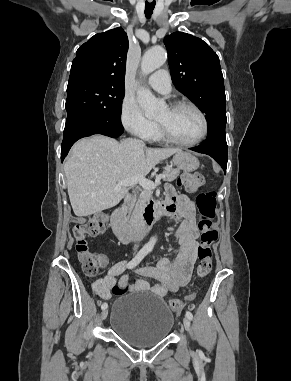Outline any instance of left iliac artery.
<instances>
[{
    "label": "left iliac artery",
    "instance_id": "1",
    "mask_svg": "<svg viewBox=\"0 0 291 381\" xmlns=\"http://www.w3.org/2000/svg\"><path fill=\"white\" fill-rule=\"evenodd\" d=\"M186 317H188L190 320L193 319V315H192V313L190 311L186 312Z\"/></svg>",
    "mask_w": 291,
    "mask_h": 381
}]
</instances>
